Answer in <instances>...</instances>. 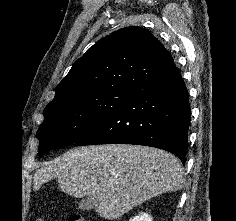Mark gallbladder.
Listing matches in <instances>:
<instances>
[{
	"mask_svg": "<svg viewBox=\"0 0 236 221\" xmlns=\"http://www.w3.org/2000/svg\"><path fill=\"white\" fill-rule=\"evenodd\" d=\"M97 204L98 200L96 196L90 195L79 201L78 208L84 211H89L96 208Z\"/></svg>",
	"mask_w": 236,
	"mask_h": 221,
	"instance_id": "gallbladder-1",
	"label": "gallbladder"
}]
</instances>
